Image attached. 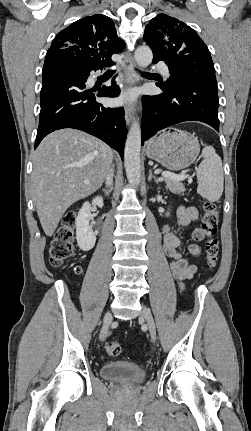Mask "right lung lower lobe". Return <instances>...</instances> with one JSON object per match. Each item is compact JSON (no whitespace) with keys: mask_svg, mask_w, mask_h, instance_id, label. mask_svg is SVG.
<instances>
[{"mask_svg":"<svg viewBox=\"0 0 251 431\" xmlns=\"http://www.w3.org/2000/svg\"><path fill=\"white\" fill-rule=\"evenodd\" d=\"M99 66L78 65L62 60L43 68L40 93L39 127L36 148L49 133L62 128L85 131L106 142L123 157L127 137L123 108H105L96 97H116L120 89L115 80L110 87H102L97 93L86 89L90 71Z\"/></svg>","mask_w":251,"mask_h":431,"instance_id":"obj_1","label":"right lung lower lobe"}]
</instances>
